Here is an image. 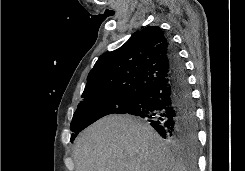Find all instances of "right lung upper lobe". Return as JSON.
<instances>
[{"label": "right lung upper lobe", "mask_w": 245, "mask_h": 171, "mask_svg": "<svg viewBox=\"0 0 245 171\" xmlns=\"http://www.w3.org/2000/svg\"><path fill=\"white\" fill-rule=\"evenodd\" d=\"M170 44L160 27L148 26L120 48L102 54L88 74L83 101L141 96L169 76Z\"/></svg>", "instance_id": "1"}]
</instances>
